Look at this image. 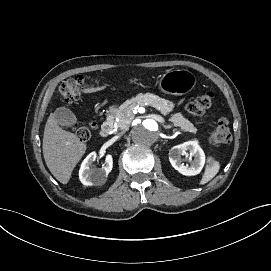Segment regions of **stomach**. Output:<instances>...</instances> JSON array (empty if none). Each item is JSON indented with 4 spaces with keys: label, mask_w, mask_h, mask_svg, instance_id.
<instances>
[{
    "label": "stomach",
    "mask_w": 271,
    "mask_h": 271,
    "mask_svg": "<svg viewBox=\"0 0 271 271\" xmlns=\"http://www.w3.org/2000/svg\"><path fill=\"white\" fill-rule=\"evenodd\" d=\"M159 89L171 95H184L196 85L195 75L185 69L167 70L157 81Z\"/></svg>",
    "instance_id": "stomach-1"
}]
</instances>
